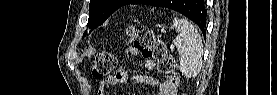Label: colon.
I'll use <instances>...</instances> for the list:
<instances>
[{"label":"colon","instance_id":"1","mask_svg":"<svg viewBox=\"0 0 277 95\" xmlns=\"http://www.w3.org/2000/svg\"><path fill=\"white\" fill-rule=\"evenodd\" d=\"M128 44L141 51L147 58L155 59L159 63V69L165 74H176L179 67L175 57L168 51L165 42L155 33L144 26L128 27L125 30ZM118 65V56L112 52L98 53L91 66V74L94 78H100L111 74Z\"/></svg>","mask_w":277,"mask_h":95}]
</instances>
